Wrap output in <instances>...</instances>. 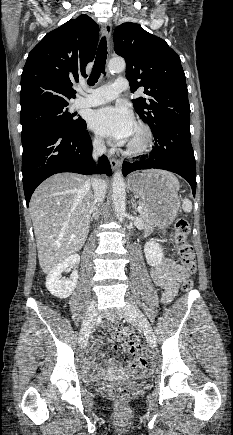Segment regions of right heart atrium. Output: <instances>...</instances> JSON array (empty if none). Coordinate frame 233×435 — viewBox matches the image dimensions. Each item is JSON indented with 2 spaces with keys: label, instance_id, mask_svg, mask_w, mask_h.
Instances as JSON below:
<instances>
[{
  "label": "right heart atrium",
  "instance_id": "d8ad5b80",
  "mask_svg": "<svg viewBox=\"0 0 233 435\" xmlns=\"http://www.w3.org/2000/svg\"><path fill=\"white\" fill-rule=\"evenodd\" d=\"M93 147L97 150L103 149V139L99 135H94L92 138Z\"/></svg>",
  "mask_w": 233,
  "mask_h": 435
}]
</instances>
